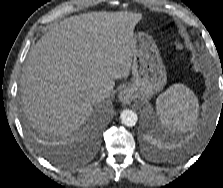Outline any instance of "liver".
Segmentation results:
<instances>
[{"label":"liver","mask_w":223,"mask_h":188,"mask_svg":"<svg viewBox=\"0 0 223 188\" xmlns=\"http://www.w3.org/2000/svg\"><path fill=\"white\" fill-rule=\"evenodd\" d=\"M141 13L91 12L55 24L31 48L20 79L23 111L40 133L67 137L93 113L90 93L127 78ZM110 95V94H109Z\"/></svg>","instance_id":"6515ba94"}]
</instances>
